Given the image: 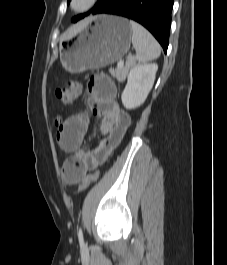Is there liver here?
I'll return each instance as SVG.
<instances>
[{"mask_svg":"<svg viewBox=\"0 0 227 265\" xmlns=\"http://www.w3.org/2000/svg\"><path fill=\"white\" fill-rule=\"evenodd\" d=\"M84 27V24H79L76 25L69 30H67L62 36H61V41L71 39L74 37L76 33H78L82 28Z\"/></svg>","mask_w":227,"mask_h":265,"instance_id":"1","label":"liver"}]
</instances>
